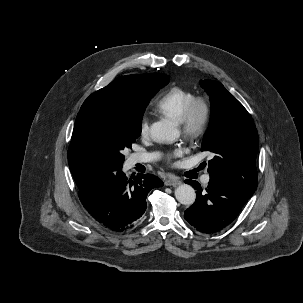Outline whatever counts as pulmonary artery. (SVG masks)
I'll return each mask as SVG.
<instances>
[{"label": "pulmonary artery", "instance_id": "obj_1", "mask_svg": "<svg viewBox=\"0 0 303 303\" xmlns=\"http://www.w3.org/2000/svg\"><path fill=\"white\" fill-rule=\"evenodd\" d=\"M154 158H155V155H153V154H136L132 157V162L133 163L148 162ZM209 181H210V176L208 174H206L202 177V183L204 185H208Z\"/></svg>", "mask_w": 303, "mask_h": 303}]
</instances>
